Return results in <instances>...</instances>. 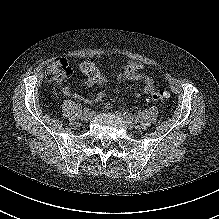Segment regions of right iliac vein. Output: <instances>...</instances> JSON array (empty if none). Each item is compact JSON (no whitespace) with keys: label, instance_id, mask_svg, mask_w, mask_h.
<instances>
[{"label":"right iliac vein","instance_id":"right-iliac-vein-1","mask_svg":"<svg viewBox=\"0 0 219 219\" xmlns=\"http://www.w3.org/2000/svg\"><path fill=\"white\" fill-rule=\"evenodd\" d=\"M91 117H92V115H91L90 113H84V114L82 115V120L88 121V120L91 119Z\"/></svg>","mask_w":219,"mask_h":219}]
</instances>
